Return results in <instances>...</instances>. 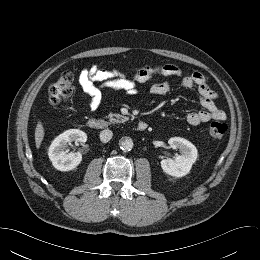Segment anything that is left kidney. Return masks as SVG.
I'll return each mask as SVG.
<instances>
[{"mask_svg":"<svg viewBox=\"0 0 260 260\" xmlns=\"http://www.w3.org/2000/svg\"><path fill=\"white\" fill-rule=\"evenodd\" d=\"M168 144L173 149H179L180 155L175 159H163L161 168L163 171L173 177H183L188 174L192 165L197 159V149L188 140L180 137H172L168 140Z\"/></svg>","mask_w":260,"mask_h":260,"instance_id":"obj_1","label":"left kidney"}]
</instances>
